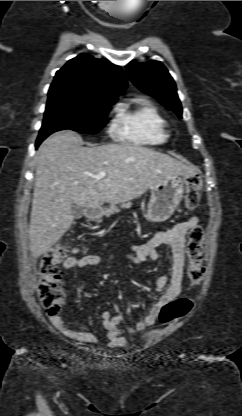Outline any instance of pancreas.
<instances>
[{
	"label": "pancreas",
	"mask_w": 242,
	"mask_h": 416,
	"mask_svg": "<svg viewBox=\"0 0 242 416\" xmlns=\"http://www.w3.org/2000/svg\"><path fill=\"white\" fill-rule=\"evenodd\" d=\"M130 206H131V203H124V204L121 205L122 208H130ZM117 212H119L118 207L116 205H111L109 208H107L104 211V215H106L108 217V216H110L114 213H117Z\"/></svg>",
	"instance_id": "pancreas-1"
}]
</instances>
